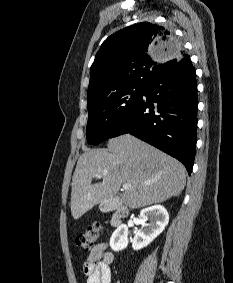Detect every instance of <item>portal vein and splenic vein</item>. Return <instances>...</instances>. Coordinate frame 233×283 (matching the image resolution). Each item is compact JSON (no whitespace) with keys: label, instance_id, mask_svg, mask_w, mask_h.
<instances>
[{"label":"portal vein and splenic vein","instance_id":"1","mask_svg":"<svg viewBox=\"0 0 233 283\" xmlns=\"http://www.w3.org/2000/svg\"><path fill=\"white\" fill-rule=\"evenodd\" d=\"M97 177H98V178H100V177H101V175H100V174H98V175H97ZM130 187H131V185H130V184H123V188H124V189H128V188H130Z\"/></svg>","mask_w":233,"mask_h":283}]
</instances>
